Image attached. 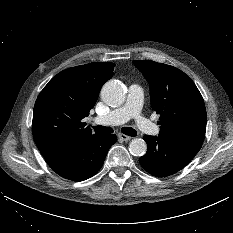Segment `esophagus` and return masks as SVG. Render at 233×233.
Returning a JSON list of instances; mask_svg holds the SVG:
<instances>
[{
    "label": "esophagus",
    "instance_id": "esophagus-1",
    "mask_svg": "<svg viewBox=\"0 0 233 233\" xmlns=\"http://www.w3.org/2000/svg\"><path fill=\"white\" fill-rule=\"evenodd\" d=\"M118 138L122 141H130L132 139V137L127 136L125 134H118Z\"/></svg>",
    "mask_w": 233,
    "mask_h": 233
}]
</instances>
